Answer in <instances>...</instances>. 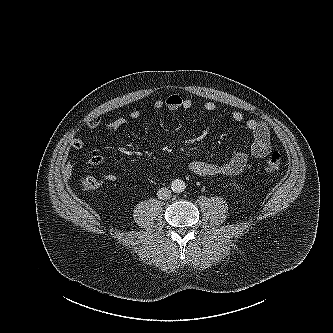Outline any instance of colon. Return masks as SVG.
I'll list each match as a JSON object with an SVG mask.
<instances>
[{"instance_id": "obj_1", "label": "colon", "mask_w": 333, "mask_h": 333, "mask_svg": "<svg viewBox=\"0 0 333 333\" xmlns=\"http://www.w3.org/2000/svg\"><path fill=\"white\" fill-rule=\"evenodd\" d=\"M282 163V154L279 151H273L268 157L264 168L268 172H274L282 166ZM79 185L84 189H96L101 185V183L93 176H85L80 179Z\"/></svg>"}]
</instances>
